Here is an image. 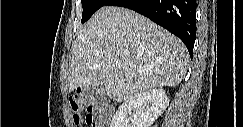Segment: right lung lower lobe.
<instances>
[{
    "label": "right lung lower lobe",
    "instance_id": "98d812e1",
    "mask_svg": "<svg viewBox=\"0 0 243 127\" xmlns=\"http://www.w3.org/2000/svg\"><path fill=\"white\" fill-rule=\"evenodd\" d=\"M108 6L134 10L178 36L190 57L196 37V0H109Z\"/></svg>",
    "mask_w": 243,
    "mask_h": 127
}]
</instances>
